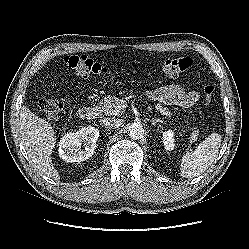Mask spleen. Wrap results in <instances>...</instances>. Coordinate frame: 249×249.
Here are the masks:
<instances>
[{"mask_svg":"<svg viewBox=\"0 0 249 249\" xmlns=\"http://www.w3.org/2000/svg\"><path fill=\"white\" fill-rule=\"evenodd\" d=\"M220 145L221 136L211 134L193 152H186L181 160V175L193 178L204 173L216 159Z\"/></svg>","mask_w":249,"mask_h":249,"instance_id":"obj_1","label":"spleen"}]
</instances>
